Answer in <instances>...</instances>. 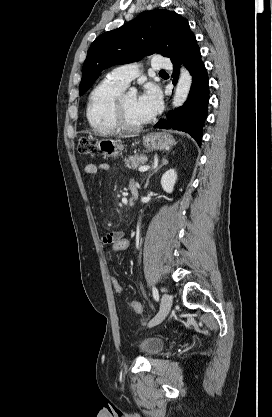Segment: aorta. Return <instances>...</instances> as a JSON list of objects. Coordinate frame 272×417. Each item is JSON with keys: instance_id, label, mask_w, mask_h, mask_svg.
Listing matches in <instances>:
<instances>
[{"instance_id": "aorta-1", "label": "aorta", "mask_w": 272, "mask_h": 417, "mask_svg": "<svg viewBox=\"0 0 272 417\" xmlns=\"http://www.w3.org/2000/svg\"><path fill=\"white\" fill-rule=\"evenodd\" d=\"M192 85V77L189 71L181 67L178 84L173 97V107H180L186 101ZM132 93H136V89H131Z\"/></svg>"}]
</instances>
